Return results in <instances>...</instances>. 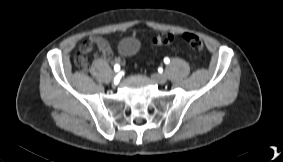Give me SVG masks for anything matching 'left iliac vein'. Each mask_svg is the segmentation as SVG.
Masks as SVG:
<instances>
[{"instance_id":"4c4485c4","label":"left iliac vein","mask_w":283,"mask_h":162,"mask_svg":"<svg viewBox=\"0 0 283 162\" xmlns=\"http://www.w3.org/2000/svg\"><path fill=\"white\" fill-rule=\"evenodd\" d=\"M151 78L154 82L158 84H165L167 82V77L164 74L154 73L151 75Z\"/></svg>"}]
</instances>
